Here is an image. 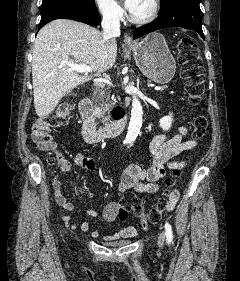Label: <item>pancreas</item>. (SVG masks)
Segmentation results:
<instances>
[{"label":"pancreas","instance_id":"1","mask_svg":"<svg viewBox=\"0 0 240 281\" xmlns=\"http://www.w3.org/2000/svg\"><path fill=\"white\" fill-rule=\"evenodd\" d=\"M94 101V114L101 120L103 124L109 122L110 109L113 107L114 103L106 95L103 90H96L93 95Z\"/></svg>","mask_w":240,"mask_h":281}]
</instances>
